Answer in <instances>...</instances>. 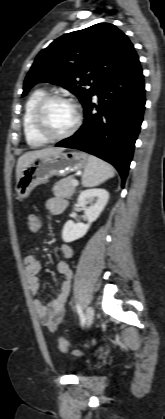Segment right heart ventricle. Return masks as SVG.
Returning <instances> with one entry per match:
<instances>
[{"label": "right heart ventricle", "instance_id": "1", "mask_svg": "<svg viewBox=\"0 0 165 419\" xmlns=\"http://www.w3.org/2000/svg\"><path fill=\"white\" fill-rule=\"evenodd\" d=\"M45 96L43 90H35L28 97L22 118L23 132L26 142L32 147H38L44 145L47 140L42 138L34 128L33 124V112L38 101Z\"/></svg>", "mask_w": 165, "mask_h": 419}]
</instances>
